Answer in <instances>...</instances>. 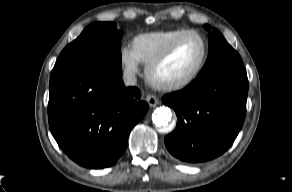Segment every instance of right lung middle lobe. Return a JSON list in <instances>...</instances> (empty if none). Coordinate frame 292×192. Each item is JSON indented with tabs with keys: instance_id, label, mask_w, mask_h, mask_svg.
<instances>
[{
	"instance_id": "dd1d6c3e",
	"label": "right lung middle lobe",
	"mask_w": 292,
	"mask_h": 192,
	"mask_svg": "<svg viewBox=\"0 0 292 192\" xmlns=\"http://www.w3.org/2000/svg\"><path fill=\"white\" fill-rule=\"evenodd\" d=\"M122 32L113 22H94L67 45L59 58H101L121 68Z\"/></svg>"
}]
</instances>
